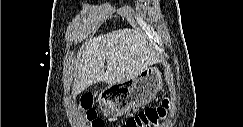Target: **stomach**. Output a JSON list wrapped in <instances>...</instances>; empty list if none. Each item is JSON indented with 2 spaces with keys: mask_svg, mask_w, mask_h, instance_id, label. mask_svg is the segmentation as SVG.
Masks as SVG:
<instances>
[{
  "mask_svg": "<svg viewBox=\"0 0 243 127\" xmlns=\"http://www.w3.org/2000/svg\"><path fill=\"white\" fill-rule=\"evenodd\" d=\"M162 85L159 68L148 66L135 78L105 87L98 96L99 108L109 117L122 116L135 107L150 103Z\"/></svg>",
  "mask_w": 243,
  "mask_h": 127,
  "instance_id": "1",
  "label": "stomach"
}]
</instances>
